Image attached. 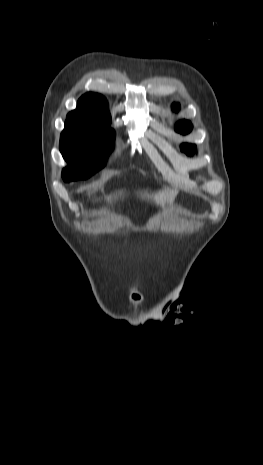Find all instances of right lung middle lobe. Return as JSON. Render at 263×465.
<instances>
[{
    "label": "right lung middle lobe",
    "mask_w": 263,
    "mask_h": 465,
    "mask_svg": "<svg viewBox=\"0 0 263 465\" xmlns=\"http://www.w3.org/2000/svg\"><path fill=\"white\" fill-rule=\"evenodd\" d=\"M115 132L110 123L67 117L60 151L68 163L62 171L66 182L86 179L101 169L113 149Z\"/></svg>",
    "instance_id": "obj_1"
}]
</instances>
